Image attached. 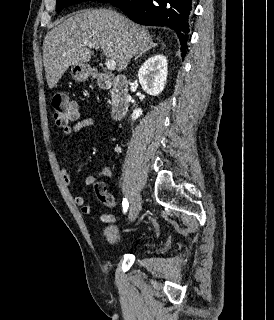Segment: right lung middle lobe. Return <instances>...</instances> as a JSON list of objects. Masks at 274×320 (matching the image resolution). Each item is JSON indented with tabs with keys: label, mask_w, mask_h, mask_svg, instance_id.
Returning a JSON list of instances; mask_svg holds the SVG:
<instances>
[{
	"label": "right lung middle lobe",
	"mask_w": 274,
	"mask_h": 320,
	"mask_svg": "<svg viewBox=\"0 0 274 320\" xmlns=\"http://www.w3.org/2000/svg\"><path fill=\"white\" fill-rule=\"evenodd\" d=\"M81 1H97L101 3H109L111 0H56V11L60 12L65 7L77 4Z\"/></svg>",
	"instance_id": "1"
}]
</instances>
